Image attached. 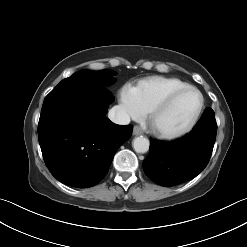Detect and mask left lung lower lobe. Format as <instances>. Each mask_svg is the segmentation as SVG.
Returning a JSON list of instances; mask_svg holds the SVG:
<instances>
[{"mask_svg":"<svg viewBox=\"0 0 247 247\" xmlns=\"http://www.w3.org/2000/svg\"><path fill=\"white\" fill-rule=\"evenodd\" d=\"M217 124L214 111L206 108L193 130L172 142L150 139L143 161L145 174L155 183L171 187L195 178L209 162Z\"/></svg>","mask_w":247,"mask_h":247,"instance_id":"1","label":"left lung lower lobe"}]
</instances>
